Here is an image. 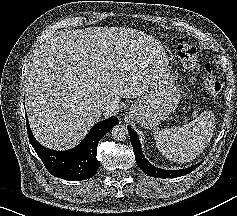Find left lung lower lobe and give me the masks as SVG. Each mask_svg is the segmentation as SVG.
<instances>
[{"mask_svg":"<svg viewBox=\"0 0 237 216\" xmlns=\"http://www.w3.org/2000/svg\"><path fill=\"white\" fill-rule=\"evenodd\" d=\"M127 128L129 131L130 140L135 154L137 165L147 175L155 178H175L189 174L190 172H192L194 169H196L198 166L201 165V163H198L194 166L181 170H163L156 168L145 159L136 132L131 128V126H128Z\"/></svg>","mask_w":237,"mask_h":216,"instance_id":"obj_1","label":"left lung lower lobe"}]
</instances>
